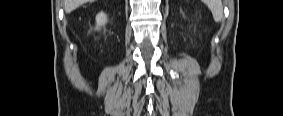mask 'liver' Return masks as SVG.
Here are the masks:
<instances>
[{
	"label": "liver",
	"instance_id": "obj_1",
	"mask_svg": "<svg viewBox=\"0 0 283 116\" xmlns=\"http://www.w3.org/2000/svg\"><path fill=\"white\" fill-rule=\"evenodd\" d=\"M89 0H63L64 9L66 13L72 12L74 9L78 8L82 4L88 2Z\"/></svg>",
	"mask_w": 283,
	"mask_h": 116
}]
</instances>
